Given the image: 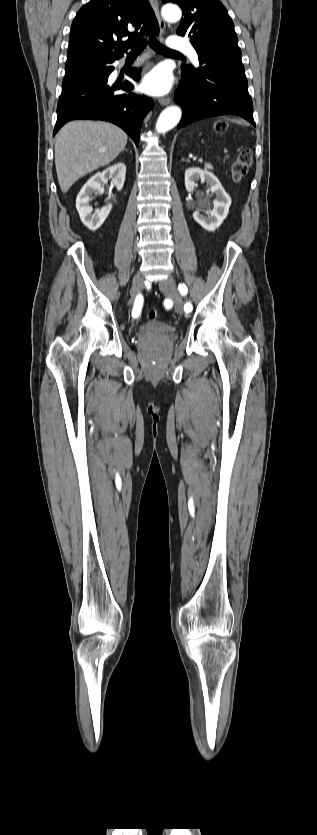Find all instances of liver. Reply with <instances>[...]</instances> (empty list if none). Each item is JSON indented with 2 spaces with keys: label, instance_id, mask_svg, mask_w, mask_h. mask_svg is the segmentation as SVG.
Instances as JSON below:
<instances>
[{
  "label": "liver",
  "instance_id": "1",
  "mask_svg": "<svg viewBox=\"0 0 317 835\" xmlns=\"http://www.w3.org/2000/svg\"><path fill=\"white\" fill-rule=\"evenodd\" d=\"M127 144V134L103 121H73L57 134L55 166L66 193L80 177L113 161Z\"/></svg>",
  "mask_w": 317,
  "mask_h": 835
}]
</instances>
